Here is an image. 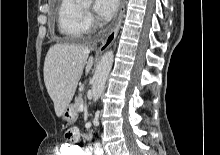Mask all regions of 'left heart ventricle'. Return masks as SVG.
I'll return each mask as SVG.
<instances>
[{
    "label": "left heart ventricle",
    "mask_w": 220,
    "mask_h": 155,
    "mask_svg": "<svg viewBox=\"0 0 220 155\" xmlns=\"http://www.w3.org/2000/svg\"><path fill=\"white\" fill-rule=\"evenodd\" d=\"M83 7L86 9H89V8H91V3L84 4Z\"/></svg>",
    "instance_id": "1"
}]
</instances>
